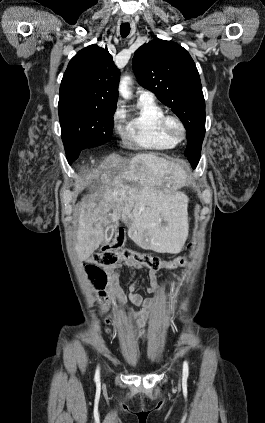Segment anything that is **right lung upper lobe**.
I'll return each mask as SVG.
<instances>
[{
	"instance_id": "obj_1",
	"label": "right lung upper lobe",
	"mask_w": 265,
	"mask_h": 423,
	"mask_svg": "<svg viewBox=\"0 0 265 423\" xmlns=\"http://www.w3.org/2000/svg\"><path fill=\"white\" fill-rule=\"evenodd\" d=\"M120 70L105 48L90 45L68 64L60 86L59 102H80L116 109Z\"/></svg>"
}]
</instances>
